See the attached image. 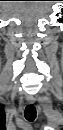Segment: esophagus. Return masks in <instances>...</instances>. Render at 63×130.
<instances>
[{
  "mask_svg": "<svg viewBox=\"0 0 63 130\" xmlns=\"http://www.w3.org/2000/svg\"><path fill=\"white\" fill-rule=\"evenodd\" d=\"M27 101L29 104H33L35 102V98L34 97H27Z\"/></svg>",
  "mask_w": 63,
  "mask_h": 130,
  "instance_id": "1",
  "label": "esophagus"
}]
</instances>
